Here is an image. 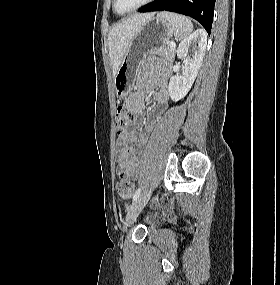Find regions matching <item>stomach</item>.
Instances as JSON below:
<instances>
[{"mask_svg": "<svg viewBox=\"0 0 280 285\" xmlns=\"http://www.w3.org/2000/svg\"><path fill=\"white\" fill-rule=\"evenodd\" d=\"M173 34L172 24L159 14L140 27L114 77L119 98H126L131 93L141 60L152 50L164 46Z\"/></svg>", "mask_w": 280, "mask_h": 285, "instance_id": "1", "label": "stomach"}]
</instances>
